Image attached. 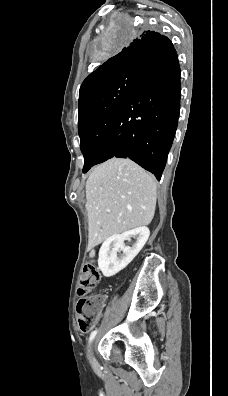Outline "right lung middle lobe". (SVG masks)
<instances>
[{"mask_svg":"<svg viewBox=\"0 0 228 396\" xmlns=\"http://www.w3.org/2000/svg\"><path fill=\"white\" fill-rule=\"evenodd\" d=\"M138 74L139 70H134L106 81L89 93L79 106L78 132L84 173L96 164Z\"/></svg>","mask_w":228,"mask_h":396,"instance_id":"1","label":"right lung middle lobe"}]
</instances>
